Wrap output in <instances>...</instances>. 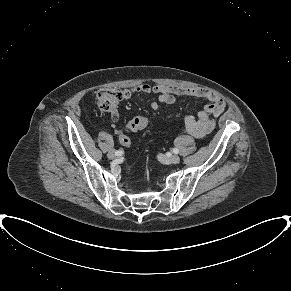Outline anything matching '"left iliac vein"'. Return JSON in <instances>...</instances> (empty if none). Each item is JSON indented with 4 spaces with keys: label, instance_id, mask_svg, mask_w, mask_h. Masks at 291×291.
Instances as JSON below:
<instances>
[{
    "label": "left iliac vein",
    "instance_id": "obj_1",
    "mask_svg": "<svg viewBox=\"0 0 291 291\" xmlns=\"http://www.w3.org/2000/svg\"><path fill=\"white\" fill-rule=\"evenodd\" d=\"M159 159L162 160V161H167V162H169L171 164H178L180 162V157L178 155H172V156H170L168 158H166L163 155H160Z\"/></svg>",
    "mask_w": 291,
    "mask_h": 291
}]
</instances>
